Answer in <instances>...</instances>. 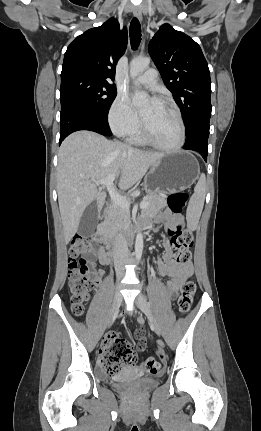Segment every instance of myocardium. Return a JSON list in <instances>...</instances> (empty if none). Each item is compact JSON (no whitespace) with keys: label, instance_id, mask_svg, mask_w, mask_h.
Masks as SVG:
<instances>
[{"label":"myocardium","instance_id":"obj_1","mask_svg":"<svg viewBox=\"0 0 261 431\" xmlns=\"http://www.w3.org/2000/svg\"><path fill=\"white\" fill-rule=\"evenodd\" d=\"M162 104L164 106H166L167 108H169L175 114V116L177 118V121L179 124V138H178L177 142L172 146H164V145L159 144L152 137V135L150 134V132L146 128L145 124L142 125V134H143L144 140L148 144L153 146L154 148H156L160 151H164V152H168V153H174V152L179 151L185 143V138H186L185 124H184L182 115L176 106H174L173 104H171L167 101H164Z\"/></svg>","mask_w":261,"mask_h":431}]
</instances>
